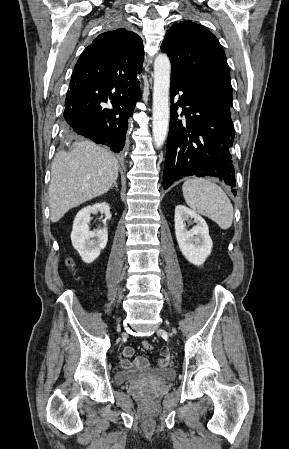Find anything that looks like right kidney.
Returning <instances> with one entry per match:
<instances>
[{
	"instance_id": "ca27d5eb",
	"label": "right kidney",
	"mask_w": 289,
	"mask_h": 449,
	"mask_svg": "<svg viewBox=\"0 0 289 449\" xmlns=\"http://www.w3.org/2000/svg\"><path fill=\"white\" fill-rule=\"evenodd\" d=\"M97 212L105 214V222L111 219L110 206L104 202L81 209L73 222L71 232L72 245L85 263H92L97 259L108 241L106 225L96 231H90L89 229L90 215ZM94 238H97V241Z\"/></svg>"
}]
</instances>
